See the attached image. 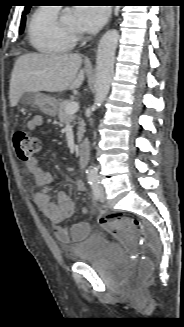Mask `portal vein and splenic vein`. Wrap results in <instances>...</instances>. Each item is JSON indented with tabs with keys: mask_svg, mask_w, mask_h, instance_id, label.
Here are the masks:
<instances>
[{
	"mask_svg": "<svg viewBox=\"0 0 184 327\" xmlns=\"http://www.w3.org/2000/svg\"><path fill=\"white\" fill-rule=\"evenodd\" d=\"M79 109V104L77 102H69L67 105H66V113L67 114H74L78 111Z\"/></svg>",
	"mask_w": 184,
	"mask_h": 327,
	"instance_id": "18ae733b",
	"label": "portal vein and splenic vein"
}]
</instances>
